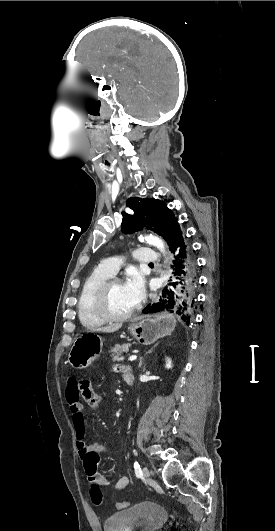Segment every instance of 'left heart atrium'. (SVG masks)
I'll use <instances>...</instances> for the list:
<instances>
[{"instance_id": "39dd6f15", "label": "left heart atrium", "mask_w": 275, "mask_h": 531, "mask_svg": "<svg viewBox=\"0 0 275 531\" xmlns=\"http://www.w3.org/2000/svg\"><path fill=\"white\" fill-rule=\"evenodd\" d=\"M124 287L134 306L140 303L144 291V278L137 269L127 272Z\"/></svg>"}]
</instances>
